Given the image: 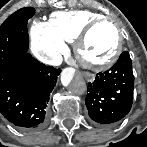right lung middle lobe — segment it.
Wrapping results in <instances>:
<instances>
[{
    "mask_svg": "<svg viewBox=\"0 0 147 147\" xmlns=\"http://www.w3.org/2000/svg\"><path fill=\"white\" fill-rule=\"evenodd\" d=\"M32 17L30 11H17L0 27V67L12 59L26 54L29 41L26 22Z\"/></svg>",
    "mask_w": 147,
    "mask_h": 147,
    "instance_id": "right-lung-middle-lobe-1",
    "label": "right lung middle lobe"
}]
</instances>
